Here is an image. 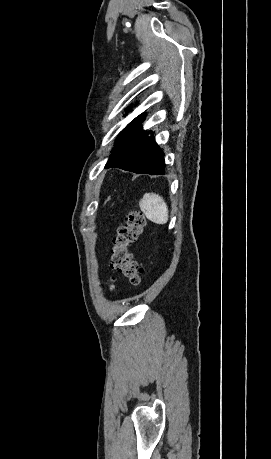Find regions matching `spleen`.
<instances>
[{"instance_id": "1", "label": "spleen", "mask_w": 271, "mask_h": 459, "mask_svg": "<svg viewBox=\"0 0 271 459\" xmlns=\"http://www.w3.org/2000/svg\"><path fill=\"white\" fill-rule=\"evenodd\" d=\"M139 208L146 218L154 224H166L168 222L167 204L158 194H144L139 202Z\"/></svg>"}]
</instances>
